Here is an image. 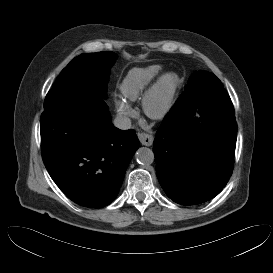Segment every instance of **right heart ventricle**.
<instances>
[{"label": "right heart ventricle", "instance_id": "right-heart-ventricle-1", "mask_svg": "<svg viewBox=\"0 0 273 273\" xmlns=\"http://www.w3.org/2000/svg\"><path fill=\"white\" fill-rule=\"evenodd\" d=\"M161 69L160 65L154 64L133 70L121 85L124 98L130 101L137 100Z\"/></svg>", "mask_w": 273, "mask_h": 273}]
</instances>
